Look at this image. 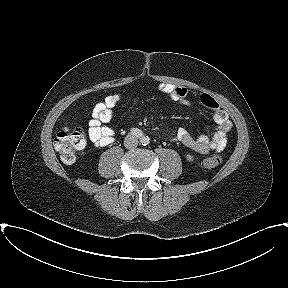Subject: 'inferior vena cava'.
<instances>
[{"label":"inferior vena cava","instance_id":"1","mask_svg":"<svg viewBox=\"0 0 288 288\" xmlns=\"http://www.w3.org/2000/svg\"><path fill=\"white\" fill-rule=\"evenodd\" d=\"M124 145L127 149L135 148L138 145V139L133 135H128L124 140Z\"/></svg>","mask_w":288,"mask_h":288}]
</instances>
